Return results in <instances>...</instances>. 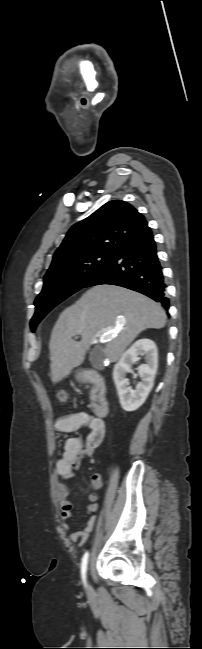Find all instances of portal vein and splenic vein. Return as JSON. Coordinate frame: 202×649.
Returning a JSON list of instances; mask_svg holds the SVG:
<instances>
[{
	"label": "portal vein and splenic vein",
	"mask_w": 202,
	"mask_h": 649,
	"mask_svg": "<svg viewBox=\"0 0 202 649\" xmlns=\"http://www.w3.org/2000/svg\"><path fill=\"white\" fill-rule=\"evenodd\" d=\"M112 333H113V331H106V332L100 333L99 334V341L103 342V343L109 341V337L111 336Z\"/></svg>",
	"instance_id": "portal-vein-and-splenic-vein-1"
}]
</instances>
